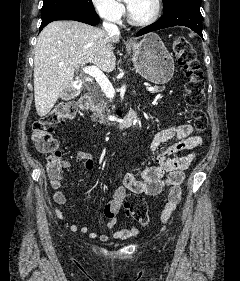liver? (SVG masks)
Listing matches in <instances>:
<instances>
[{"label": "liver", "mask_w": 240, "mask_h": 281, "mask_svg": "<svg viewBox=\"0 0 240 281\" xmlns=\"http://www.w3.org/2000/svg\"><path fill=\"white\" fill-rule=\"evenodd\" d=\"M119 36L77 21H54L39 34L34 56V97L39 116L47 115L72 86L78 66L93 64L104 72L116 66Z\"/></svg>", "instance_id": "liver-1"}]
</instances>
